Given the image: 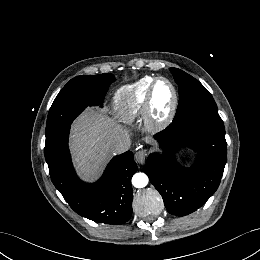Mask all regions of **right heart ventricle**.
Listing matches in <instances>:
<instances>
[{"instance_id": "1", "label": "right heart ventricle", "mask_w": 260, "mask_h": 260, "mask_svg": "<svg viewBox=\"0 0 260 260\" xmlns=\"http://www.w3.org/2000/svg\"><path fill=\"white\" fill-rule=\"evenodd\" d=\"M156 78L145 76L119 88L113 96L116 113L125 122H131L143 114L148 90Z\"/></svg>"}]
</instances>
